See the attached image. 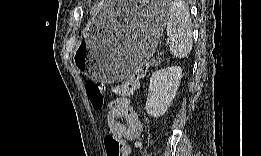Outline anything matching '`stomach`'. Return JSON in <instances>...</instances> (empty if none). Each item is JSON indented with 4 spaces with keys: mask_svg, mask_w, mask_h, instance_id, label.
I'll return each instance as SVG.
<instances>
[{
    "mask_svg": "<svg viewBox=\"0 0 261 156\" xmlns=\"http://www.w3.org/2000/svg\"><path fill=\"white\" fill-rule=\"evenodd\" d=\"M168 16L165 2L148 1L136 2L124 20L107 21L102 13L95 16L77 50V66L96 81L126 79L153 56Z\"/></svg>",
    "mask_w": 261,
    "mask_h": 156,
    "instance_id": "stomach-1",
    "label": "stomach"
}]
</instances>
